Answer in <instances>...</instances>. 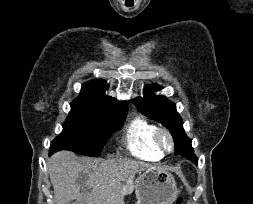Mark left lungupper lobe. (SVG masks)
I'll return each instance as SVG.
<instances>
[{"label": "left lung upper lobe", "instance_id": "5c2ea615", "mask_svg": "<svg viewBox=\"0 0 253 204\" xmlns=\"http://www.w3.org/2000/svg\"><path fill=\"white\" fill-rule=\"evenodd\" d=\"M160 86L153 84L147 86L146 95L135 99L139 111L151 119L159 121L172 134L175 144V155L180 154L186 158L193 152L191 140L186 136L183 122L176 111V105L164 96L152 95L153 90H160Z\"/></svg>", "mask_w": 253, "mask_h": 204}]
</instances>
